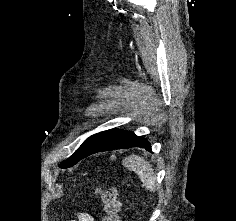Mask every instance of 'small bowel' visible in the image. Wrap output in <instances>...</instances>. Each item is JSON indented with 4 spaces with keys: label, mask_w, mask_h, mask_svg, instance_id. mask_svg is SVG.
<instances>
[{
    "label": "small bowel",
    "mask_w": 236,
    "mask_h": 221,
    "mask_svg": "<svg viewBox=\"0 0 236 221\" xmlns=\"http://www.w3.org/2000/svg\"><path fill=\"white\" fill-rule=\"evenodd\" d=\"M70 221H94V218L85 212L78 213L77 220H70Z\"/></svg>",
    "instance_id": "small-bowel-1"
}]
</instances>
